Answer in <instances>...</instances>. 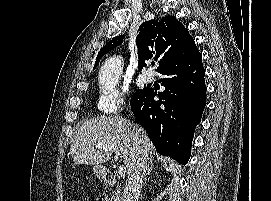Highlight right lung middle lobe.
<instances>
[{
    "label": "right lung middle lobe",
    "mask_w": 271,
    "mask_h": 201,
    "mask_svg": "<svg viewBox=\"0 0 271 201\" xmlns=\"http://www.w3.org/2000/svg\"><path fill=\"white\" fill-rule=\"evenodd\" d=\"M146 88L142 89V90H137L133 95H137L139 93H142Z\"/></svg>",
    "instance_id": "obj_1"
}]
</instances>
